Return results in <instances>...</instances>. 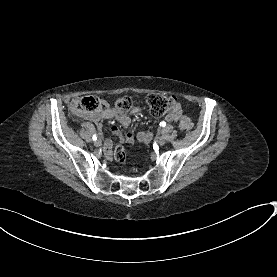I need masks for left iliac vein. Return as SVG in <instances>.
I'll return each instance as SVG.
<instances>
[{
  "instance_id": "obj_1",
  "label": "left iliac vein",
  "mask_w": 277,
  "mask_h": 277,
  "mask_svg": "<svg viewBox=\"0 0 277 277\" xmlns=\"http://www.w3.org/2000/svg\"><path fill=\"white\" fill-rule=\"evenodd\" d=\"M165 142H166V140H165V138L163 137V136H161V137H159V139H158V143H159V145H164L165 144Z\"/></svg>"
}]
</instances>
